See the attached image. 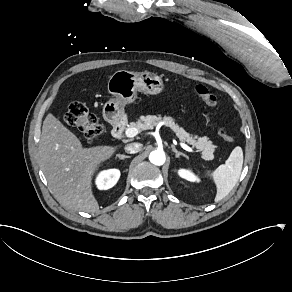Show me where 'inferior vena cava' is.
Instances as JSON below:
<instances>
[{
  "mask_svg": "<svg viewBox=\"0 0 292 292\" xmlns=\"http://www.w3.org/2000/svg\"><path fill=\"white\" fill-rule=\"evenodd\" d=\"M142 145L140 143H130L125 146V152L135 154L141 151Z\"/></svg>",
  "mask_w": 292,
  "mask_h": 292,
  "instance_id": "602c4592",
  "label": "inferior vena cava"
}]
</instances>
